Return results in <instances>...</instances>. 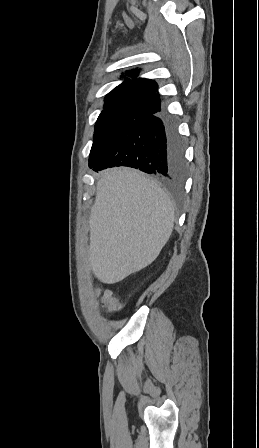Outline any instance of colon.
Listing matches in <instances>:
<instances>
[{"label": "colon", "instance_id": "5ec220e1", "mask_svg": "<svg viewBox=\"0 0 259 448\" xmlns=\"http://www.w3.org/2000/svg\"><path fill=\"white\" fill-rule=\"evenodd\" d=\"M101 305L110 312L120 311L123 308L122 302L110 291H99Z\"/></svg>", "mask_w": 259, "mask_h": 448}]
</instances>
